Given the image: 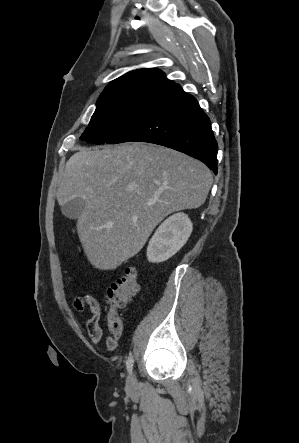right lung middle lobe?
<instances>
[{
    "mask_svg": "<svg viewBox=\"0 0 299 443\" xmlns=\"http://www.w3.org/2000/svg\"><path fill=\"white\" fill-rule=\"evenodd\" d=\"M166 90L141 87L102 93L80 139L94 144L108 143L126 130Z\"/></svg>",
    "mask_w": 299,
    "mask_h": 443,
    "instance_id": "obj_1",
    "label": "right lung middle lobe"
}]
</instances>
